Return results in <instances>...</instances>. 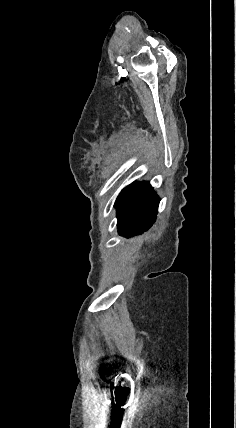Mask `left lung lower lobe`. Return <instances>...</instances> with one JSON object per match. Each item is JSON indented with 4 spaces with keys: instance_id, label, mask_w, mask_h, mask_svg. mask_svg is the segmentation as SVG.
I'll return each mask as SVG.
<instances>
[{
    "instance_id": "1",
    "label": "left lung lower lobe",
    "mask_w": 236,
    "mask_h": 428,
    "mask_svg": "<svg viewBox=\"0 0 236 428\" xmlns=\"http://www.w3.org/2000/svg\"><path fill=\"white\" fill-rule=\"evenodd\" d=\"M160 198L148 182H133L116 199L118 233L128 237L147 231L155 222Z\"/></svg>"
}]
</instances>
